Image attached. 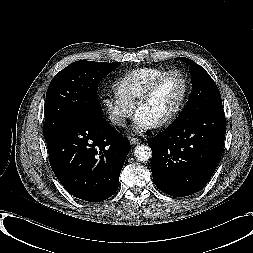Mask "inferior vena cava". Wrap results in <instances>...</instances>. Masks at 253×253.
<instances>
[{"label": "inferior vena cava", "instance_id": "inferior-vena-cava-1", "mask_svg": "<svg viewBox=\"0 0 253 253\" xmlns=\"http://www.w3.org/2000/svg\"><path fill=\"white\" fill-rule=\"evenodd\" d=\"M113 122L117 125L124 126L125 125V118L123 117H116L114 118Z\"/></svg>", "mask_w": 253, "mask_h": 253}]
</instances>
